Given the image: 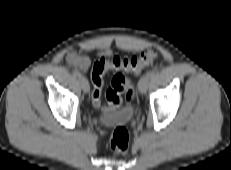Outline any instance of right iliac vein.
Returning a JSON list of instances; mask_svg holds the SVG:
<instances>
[{"instance_id":"1","label":"right iliac vein","mask_w":231,"mask_h":170,"mask_svg":"<svg viewBox=\"0 0 231 170\" xmlns=\"http://www.w3.org/2000/svg\"><path fill=\"white\" fill-rule=\"evenodd\" d=\"M79 83L81 85V88L83 90L84 93H88L89 90H90V86H89V83L88 81L86 80V78L84 77H80L79 78Z\"/></svg>"}]
</instances>
